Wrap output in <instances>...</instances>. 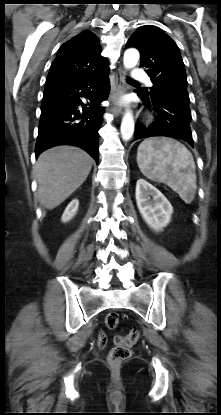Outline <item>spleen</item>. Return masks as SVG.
Returning <instances> with one entry per match:
<instances>
[{"label":"spleen","instance_id":"obj_1","mask_svg":"<svg viewBox=\"0 0 221 415\" xmlns=\"http://www.w3.org/2000/svg\"><path fill=\"white\" fill-rule=\"evenodd\" d=\"M137 164L148 179L168 185L190 204L197 189L195 163L191 152L171 138H149L137 150Z\"/></svg>","mask_w":221,"mask_h":415}]
</instances>
